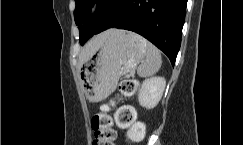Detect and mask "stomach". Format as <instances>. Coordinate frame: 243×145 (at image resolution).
I'll use <instances>...</instances> for the list:
<instances>
[{
  "mask_svg": "<svg viewBox=\"0 0 243 145\" xmlns=\"http://www.w3.org/2000/svg\"><path fill=\"white\" fill-rule=\"evenodd\" d=\"M135 33L113 29L102 46L85 62L81 71L85 94L92 102L107 98L119 78L142 61L146 48Z\"/></svg>",
  "mask_w": 243,
  "mask_h": 145,
  "instance_id": "0dacf381",
  "label": "stomach"
}]
</instances>
